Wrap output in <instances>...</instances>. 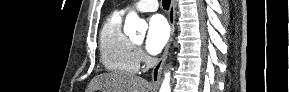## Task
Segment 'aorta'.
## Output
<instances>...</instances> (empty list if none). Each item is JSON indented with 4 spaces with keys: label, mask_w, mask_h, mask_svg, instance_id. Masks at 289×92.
Here are the masks:
<instances>
[{
    "label": "aorta",
    "mask_w": 289,
    "mask_h": 92,
    "mask_svg": "<svg viewBox=\"0 0 289 92\" xmlns=\"http://www.w3.org/2000/svg\"><path fill=\"white\" fill-rule=\"evenodd\" d=\"M147 29V24L144 20L140 19L138 15L131 12L127 15L124 25V32L126 34H133L137 32H143ZM170 73H165L164 80L162 82L160 92H170Z\"/></svg>",
    "instance_id": "762f6f07"
}]
</instances>
